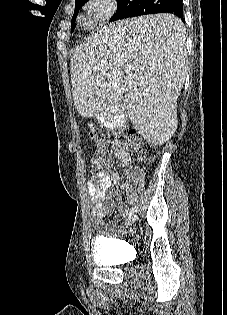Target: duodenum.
Returning <instances> with one entry per match:
<instances>
[{
    "instance_id": "1",
    "label": "duodenum",
    "mask_w": 227,
    "mask_h": 315,
    "mask_svg": "<svg viewBox=\"0 0 227 315\" xmlns=\"http://www.w3.org/2000/svg\"><path fill=\"white\" fill-rule=\"evenodd\" d=\"M105 122L109 127H118L124 121V114L120 109H115L105 114Z\"/></svg>"
}]
</instances>
